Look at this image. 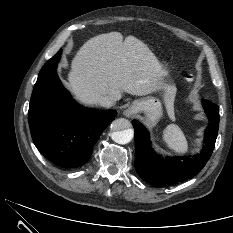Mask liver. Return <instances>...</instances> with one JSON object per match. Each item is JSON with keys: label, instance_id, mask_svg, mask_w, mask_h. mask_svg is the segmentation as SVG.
<instances>
[{"label": "liver", "instance_id": "liver-1", "mask_svg": "<svg viewBox=\"0 0 233 233\" xmlns=\"http://www.w3.org/2000/svg\"><path fill=\"white\" fill-rule=\"evenodd\" d=\"M163 77L162 65L146 44L110 32L91 38L79 49L68 81L75 97L87 105L99 104L104 96L117 101L122 92L142 96L156 89H163L165 102L172 104L176 87Z\"/></svg>", "mask_w": 233, "mask_h": 233}]
</instances>
